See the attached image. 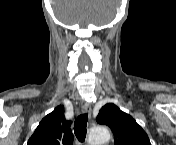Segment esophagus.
Wrapping results in <instances>:
<instances>
[{"label": "esophagus", "instance_id": "esophagus-1", "mask_svg": "<svg viewBox=\"0 0 176 145\" xmlns=\"http://www.w3.org/2000/svg\"><path fill=\"white\" fill-rule=\"evenodd\" d=\"M82 112L88 114L90 117L91 116V106L88 103H85L82 106Z\"/></svg>", "mask_w": 176, "mask_h": 145}]
</instances>
